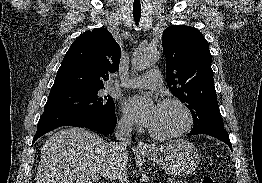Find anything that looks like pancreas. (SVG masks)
Wrapping results in <instances>:
<instances>
[{"mask_svg": "<svg viewBox=\"0 0 262 183\" xmlns=\"http://www.w3.org/2000/svg\"><path fill=\"white\" fill-rule=\"evenodd\" d=\"M178 183H187V182H186V181H185V182H182V181H181V182H178Z\"/></svg>", "mask_w": 262, "mask_h": 183, "instance_id": "obj_1", "label": "pancreas"}]
</instances>
